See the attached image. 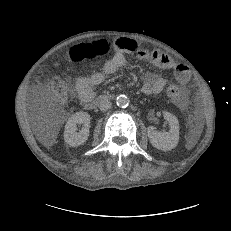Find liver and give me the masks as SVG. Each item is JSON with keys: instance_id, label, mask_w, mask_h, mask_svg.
Masks as SVG:
<instances>
[{"instance_id": "6515ba94", "label": "liver", "mask_w": 231, "mask_h": 231, "mask_svg": "<svg viewBox=\"0 0 231 231\" xmlns=\"http://www.w3.org/2000/svg\"><path fill=\"white\" fill-rule=\"evenodd\" d=\"M56 135H57V131H55V132L52 134L51 139L54 140V138L56 137ZM41 141L44 143L45 146L52 145V143H53L52 140H49V142H48V140L41 139Z\"/></svg>"}]
</instances>
